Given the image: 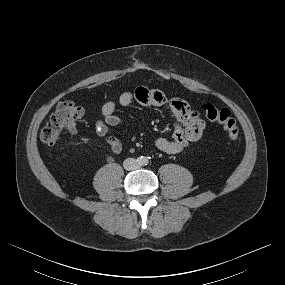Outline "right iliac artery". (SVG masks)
Returning a JSON list of instances; mask_svg holds the SVG:
<instances>
[{
	"instance_id": "right-iliac-artery-1",
	"label": "right iliac artery",
	"mask_w": 285,
	"mask_h": 285,
	"mask_svg": "<svg viewBox=\"0 0 285 285\" xmlns=\"http://www.w3.org/2000/svg\"><path fill=\"white\" fill-rule=\"evenodd\" d=\"M137 162L140 164V163H141V158H138V159H137Z\"/></svg>"
}]
</instances>
